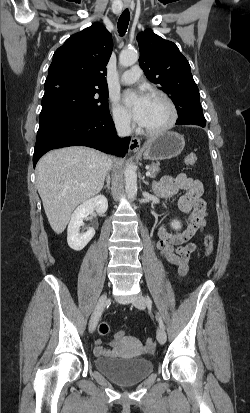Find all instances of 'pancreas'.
I'll return each instance as SVG.
<instances>
[{"mask_svg":"<svg viewBox=\"0 0 250 413\" xmlns=\"http://www.w3.org/2000/svg\"><path fill=\"white\" fill-rule=\"evenodd\" d=\"M159 165H160L159 163H156L150 166L149 171L151 173L150 175L151 178H155V176L159 172Z\"/></svg>","mask_w":250,"mask_h":413,"instance_id":"1","label":"pancreas"}]
</instances>
